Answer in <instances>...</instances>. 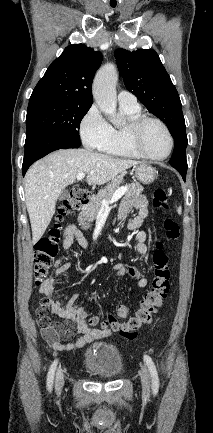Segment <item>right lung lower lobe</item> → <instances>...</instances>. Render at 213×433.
I'll use <instances>...</instances> for the list:
<instances>
[{"label": "right lung lower lobe", "mask_w": 213, "mask_h": 433, "mask_svg": "<svg viewBox=\"0 0 213 433\" xmlns=\"http://www.w3.org/2000/svg\"><path fill=\"white\" fill-rule=\"evenodd\" d=\"M79 146L80 144L46 131L26 135L25 155L22 165L23 176L34 161L50 152L65 148H78Z\"/></svg>", "instance_id": "obj_1"}]
</instances>
